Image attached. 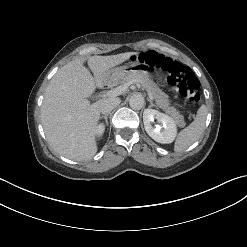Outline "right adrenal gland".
<instances>
[{"label": "right adrenal gland", "instance_id": "2a0ac1e0", "mask_svg": "<svg viewBox=\"0 0 247 247\" xmlns=\"http://www.w3.org/2000/svg\"><path fill=\"white\" fill-rule=\"evenodd\" d=\"M108 116H109V114H105V115L101 116V118H103L105 120L107 125H108Z\"/></svg>", "mask_w": 247, "mask_h": 247}]
</instances>
